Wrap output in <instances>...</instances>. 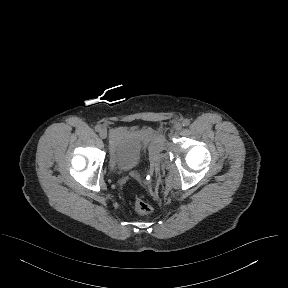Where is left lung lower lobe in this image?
<instances>
[{
  "mask_svg": "<svg viewBox=\"0 0 288 288\" xmlns=\"http://www.w3.org/2000/svg\"><path fill=\"white\" fill-rule=\"evenodd\" d=\"M263 210H264L263 200L258 198L257 200L253 202V204L247 210V215L257 217L262 213Z\"/></svg>",
  "mask_w": 288,
  "mask_h": 288,
  "instance_id": "1",
  "label": "left lung lower lobe"
}]
</instances>
